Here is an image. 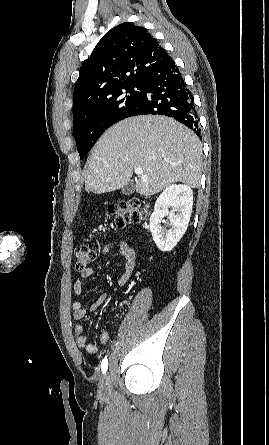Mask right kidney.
I'll return each instance as SVG.
<instances>
[{
	"mask_svg": "<svg viewBox=\"0 0 269 445\" xmlns=\"http://www.w3.org/2000/svg\"><path fill=\"white\" fill-rule=\"evenodd\" d=\"M192 205L193 191L185 184H172L157 198L150 217V231L159 250L171 251L180 241L187 230ZM170 207L173 210L169 211ZM165 216H168L172 227L164 230L161 223Z\"/></svg>",
	"mask_w": 269,
	"mask_h": 445,
	"instance_id": "ca27d5eb",
	"label": "right kidney"
}]
</instances>
